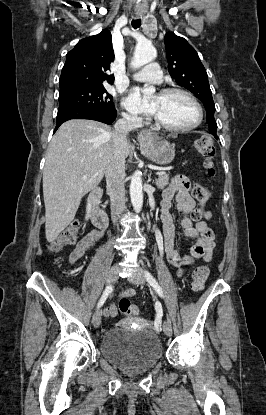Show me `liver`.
I'll list each match as a JSON object with an SVG mask.
<instances>
[{"label": "liver", "mask_w": 266, "mask_h": 415, "mask_svg": "<svg viewBox=\"0 0 266 415\" xmlns=\"http://www.w3.org/2000/svg\"><path fill=\"white\" fill-rule=\"evenodd\" d=\"M112 134L111 128L103 123L72 119L63 123L53 136L43 170L48 242H53L73 221L82 197L103 179ZM129 151L130 144H127L126 156Z\"/></svg>", "instance_id": "obj_1"}]
</instances>
